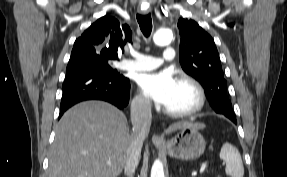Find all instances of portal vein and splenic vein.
Returning <instances> with one entry per match:
<instances>
[{"mask_svg": "<svg viewBox=\"0 0 287 177\" xmlns=\"http://www.w3.org/2000/svg\"><path fill=\"white\" fill-rule=\"evenodd\" d=\"M108 164H111V161L107 162ZM208 168V164H202V166L200 167L199 173L202 174L206 169Z\"/></svg>", "mask_w": 287, "mask_h": 177, "instance_id": "obj_1", "label": "portal vein and splenic vein"}]
</instances>
